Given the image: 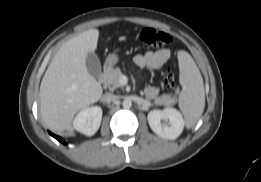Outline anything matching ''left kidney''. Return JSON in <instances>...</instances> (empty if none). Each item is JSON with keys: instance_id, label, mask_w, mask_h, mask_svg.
I'll return each mask as SVG.
<instances>
[{"instance_id": "obj_1", "label": "left kidney", "mask_w": 261, "mask_h": 182, "mask_svg": "<svg viewBox=\"0 0 261 182\" xmlns=\"http://www.w3.org/2000/svg\"><path fill=\"white\" fill-rule=\"evenodd\" d=\"M147 120L154 133L170 140L178 138L185 125L181 113L172 107L150 111Z\"/></svg>"}]
</instances>
